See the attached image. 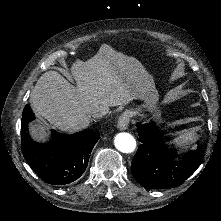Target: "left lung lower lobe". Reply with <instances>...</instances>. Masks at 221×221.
<instances>
[{
	"label": "left lung lower lobe",
	"mask_w": 221,
	"mask_h": 221,
	"mask_svg": "<svg viewBox=\"0 0 221 221\" xmlns=\"http://www.w3.org/2000/svg\"><path fill=\"white\" fill-rule=\"evenodd\" d=\"M142 144L132 161V174L145 188L169 189L182 184L200 166L203 152L200 146L179 160L176 150L168 148L154 123H137Z\"/></svg>",
	"instance_id": "1"
}]
</instances>
